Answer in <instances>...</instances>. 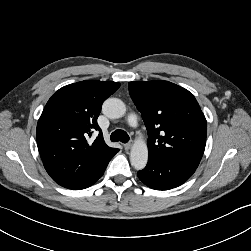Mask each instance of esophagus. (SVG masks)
I'll use <instances>...</instances> for the list:
<instances>
[{
	"label": "esophagus",
	"mask_w": 251,
	"mask_h": 251,
	"mask_svg": "<svg viewBox=\"0 0 251 251\" xmlns=\"http://www.w3.org/2000/svg\"><path fill=\"white\" fill-rule=\"evenodd\" d=\"M131 147H132L131 143L124 144L125 150H129V149H131Z\"/></svg>",
	"instance_id": "esophagus-1"
}]
</instances>
